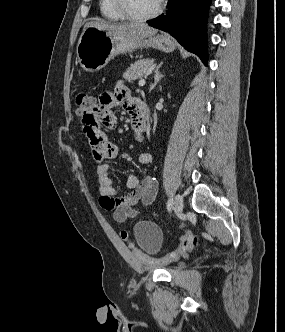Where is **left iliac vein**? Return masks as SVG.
Returning <instances> with one entry per match:
<instances>
[{
    "instance_id": "1",
    "label": "left iliac vein",
    "mask_w": 285,
    "mask_h": 332,
    "mask_svg": "<svg viewBox=\"0 0 285 332\" xmlns=\"http://www.w3.org/2000/svg\"><path fill=\"white\" fill-rule=\"evenodd\" d=\"M174 209L177 214H181L183 211V198L180 194H177L174 199Z\"/></svg>"
}]
</instances>
